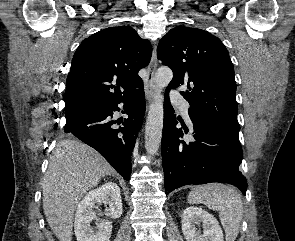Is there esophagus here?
I'll use <instances>...</instances> for the list:
<instances>
[{
	"label": "esophagus",
	"mask_w": 295,
	"mask_h": 241,
	"mask_svg": "<svg viewBox=\"0 0 295 241\" xmlns=\"http://www.w3.org/2000/svg\"><path fill=\"white\" fill-rule=\"evenodd\" d=\"M157 69V54L156 48L154 47L151 61L147 68V75L144 80L145 96L147 101L150 103L155 96V73Z\"/></svg>",
	"instance_id": "34e87169"
}]
</instances>
